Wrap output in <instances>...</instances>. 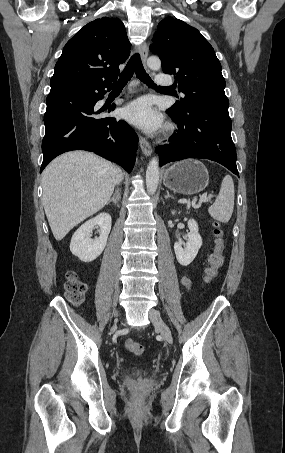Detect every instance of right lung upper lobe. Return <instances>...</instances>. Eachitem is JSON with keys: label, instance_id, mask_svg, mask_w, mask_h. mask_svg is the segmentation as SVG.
I'll list each match as a JSON object with an SVG mask.
<instances>
[{"label": "right lung upper lobe", "instance_id": "right-lung-upper-lobe-1", "mask_svg": "<svg viewBox=\"0 0 285 453\" xmlns=\"http://www.w3.org/2000/svg\"><path fill=\"white\" fill-rule=\"evenodd\" d=\"M131 44L118 18L102 17L85 25L65 45L50 85L81 84L90 88L114 86L119 65Z\"/></svg>", "mask_w": 285, "mask_h": 453}]
</instances>
